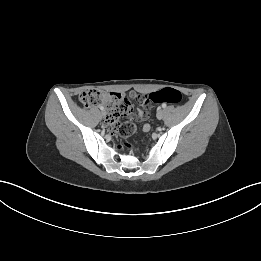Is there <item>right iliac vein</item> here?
<instances>
[{
	"mask_svg": "<svg viewBox=\"0 0 261 261\" xmlns=\"http://www.w3.org/2000/svg\"><path fill=\"white\" fill-rule=\"evenodd\" d=\"M106 112L105 111H102V115L105 116Z\"/></svg>",
	"mask_w": 261,
	"mask_h": 261,
	"instance_id": "63e3f726",
	"label": "right iliac vein"
}]
</instances>
